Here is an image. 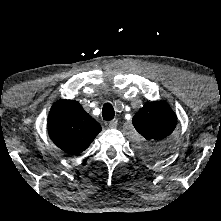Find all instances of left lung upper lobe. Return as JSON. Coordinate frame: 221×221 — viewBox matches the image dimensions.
I'll use <instances>...</instances> for the list:
<instances>
[{"label":"left lung upper lobe","instance_id":"5c2ea615","mask_svg":"<svg viewBox=\"0 0 221 221\" xmlns=\"http://www.w3.org/2000/svg\"><path fill=\"white\" fill-rule=\"evenodd\" d=\"M137 131L136 150L150 160H160L170 151V135L177 123L176 114L163 101L147 102L133 117Z\"/></svg>","mask_w":221,"mask_h":221}]
</instances>
